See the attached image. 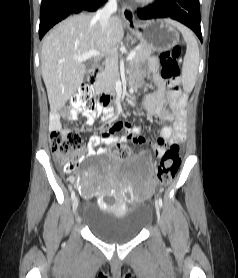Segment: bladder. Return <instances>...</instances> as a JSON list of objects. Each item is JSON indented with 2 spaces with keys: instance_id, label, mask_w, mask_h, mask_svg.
<instances>
[{
  "instance_id": "obj_1",
  "label": "bladder",
  "mask_w": 238,
  "mask_h": 278,
  "mask_svg": "<svg viewBox=\"0 0 238 278\" xmlns=\"http://www.w3.org/2000/svg\"><path fill=\"white\" fill-rule=\"evenodd\" d=\"M151 218L150 206L140 202L132 204L122 215L104 210L98 204H84L81 214L83 226L98 240L109 244L135 239Z\"/></svg>"
}]
</instances>
